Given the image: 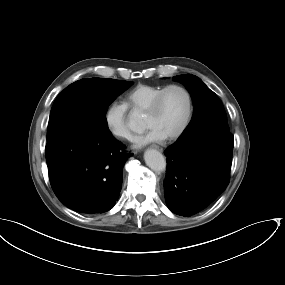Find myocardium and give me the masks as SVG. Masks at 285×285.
Returning a JSON list of instances; mask_svg holds the SVG:
<instances>
[{"label": "myocardium", "mask_w": 285, "mask_h": 285, "mask_svg": "<svg viewBox=\"0 0 285 285\" xmlns=\"http://www.w3.org/2000/svg\"><path fill=\"white\" fill-rule=\"evenodd\" d=\"M170 89H179L185 94L186 100H187V109H186L184 119H183L182 123L180 124V126L178 127V129L175 132H173L172 134H169V135H166L163 137V139H166V140L176 139L183 134V132L186 130V128L190 122L192 111H193V100H192V96H191V93L189 92V90L181 84H169V85L163 87L156 94V96L153 98V100L149 104L148 108L146 109L145 113H150V114L155 113L160 107L163 96Z\"/></svg>", "instance_id": "myocardium-1"}]
</instances>
